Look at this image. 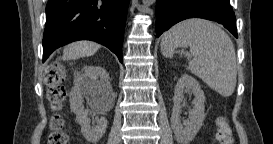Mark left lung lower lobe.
<instances>
[{"mask_svg":"<svg viewBox=\"0 0 273 144\" xmlns=\"http://www.w3.org/2000/svg\"><path fill=\"white\" fill-rule=\"evenodd\" d=\"M193 17L218 22L238 38L236 18L230 0H157V37L174 24Z\"/></svg>","mask_w":273,"mask_h":144,"instance_id":"0a47b994","label":"left lung lower lobe"}]
</instances>
